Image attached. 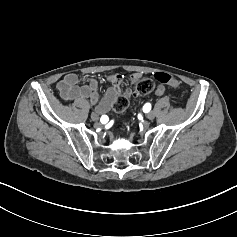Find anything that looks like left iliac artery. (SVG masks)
Here are the masks:
<instances>
[{
	"label": "left iliac artery",
	"mask_w": 237,
	"mask_h": 237,
	"mask_svg": "<svg viewBox=\"0 0 237 237\" xmlns=\"http://www.w3.org/2000/svg\"><path fill=\"white\" fill-rule=\"evenodd\" d=\"M151 110V104L150 103H146L144 106H143V111L144 112H149Z\"/></svg>",
	"instance_id": "left-iliac-artery-1"
}]
</instances>
